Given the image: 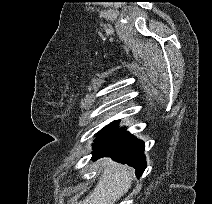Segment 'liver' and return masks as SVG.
Here are the masks:
<instances>
[{
  "label": "liver",
  "instance_id": "obj_1",
  "mask_svg": "<svg viewBox=\"0 0 212 204\" xmlns=\"http://www.w3.org/2000/svg\"><path fill=\"white\" fill-rule=\"evenodd\" d=\"M100 164L103 171L97 185L77 204H115L130 189L134 177L130 167L108 158L101 159Z\"/></svg>",
  "mask_w": 212,
  "mask_h": 204
}]
</instances>
